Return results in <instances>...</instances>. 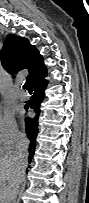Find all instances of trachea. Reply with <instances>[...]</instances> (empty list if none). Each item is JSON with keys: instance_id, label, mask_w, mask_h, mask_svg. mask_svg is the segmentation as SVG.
I'll return each mask as SVG.
<instances>
[{"instance_id": "trachea-1", "label": "trachea", "mask_w": 89, "mask_h": 203, "mask_svg": "<svg viewBox=\"0 0 89 203\" xmlns=\"http://www.w3.org/2000/svg\"><path fill=\"white\" fill-rule=\"evenodd\" d=\"M23 89L28 90V91H31L30 88H29V86H28V83H24Z\"/></svg>"}]
</instances>
